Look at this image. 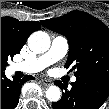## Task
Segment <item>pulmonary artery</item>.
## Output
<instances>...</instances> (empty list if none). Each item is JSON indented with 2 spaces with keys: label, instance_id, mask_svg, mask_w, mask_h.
<instances>
[{
  "label": "pulmonary artery",
  "instance_id": "1",
  "mask_svg": "<svg viewBox=\"0 0 109 109\" xmlns=\"http://www.w3.org/2000/svg\"><path fill=\"white\" fill-rule=\"evenodd\" d=\"M68 52V41L64 36H55L52 40L51 46L47 52L23 61L13 64L12 70L22 71L25 73H38L44 70L49 65L57 62L62 59ZM76 81L75 77L71 78V82L74 83Z\"/></svg>",
  "mask_w": 109,
  "mask_h": 109
}]
</instances>
